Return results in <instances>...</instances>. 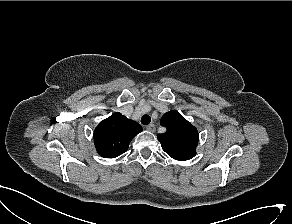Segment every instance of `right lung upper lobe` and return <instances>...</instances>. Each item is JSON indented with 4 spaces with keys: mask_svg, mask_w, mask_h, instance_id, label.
Returning <instances> with one entry per match:
<instances>
[{
    "mask_svg": "<svg viewBox=\"0 0 292 224\" xmlns=\"http://www.w3.org/2000/svg\"><path fill=\"white\" fill-rule=\"evenodd\" d=\"M142 130L136 121L114 113L96 127L93 135L95 148L100 156L115 158L127 151L130 141Z\"/></svg>",
    "mask_w": 292,
    "mask_h": 224,
    "instance_id": "cb5924a9",
    "label": "right lung upper lobe"
}]
</instances>
